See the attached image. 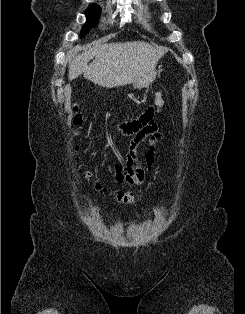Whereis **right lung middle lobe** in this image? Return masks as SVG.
<instances>
[{
	"instance_id": "obj_1",
	"label": "right lung middle lobe",
	"mask_w": 245,
	"mask_h": 314,
	"mask_svg": "<svg viewBox=\"0 0 245 314\" xmlns=\"http://www.w3.org/2000/svg\"><path fill=\"white\" fill-rule=\"evenodd\" d=\"M101 8L97 4H91L85 12L87 21L81 30V38L84 37L89 30L96 25L99 20Z\"/></svg>"
}]
</instances>
